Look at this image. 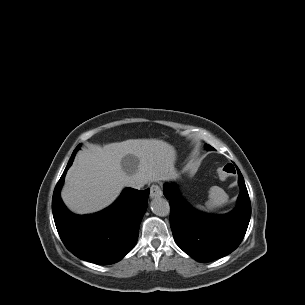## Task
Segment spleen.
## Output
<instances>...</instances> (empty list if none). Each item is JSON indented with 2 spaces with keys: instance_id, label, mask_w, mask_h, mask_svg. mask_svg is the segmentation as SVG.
Instances as JSON below:
<instances>
[{
  "instance_id": "spleen-1",
  "label": "spleen",
  "mask_w": 305,
  "mask_h": 305,
  "mask_svg": "<svg viewBox=\"0 0 305 305\" xmlns=\"http://www.w3.org/2000/svg\"><path fill=\"white\" fill-rule=\"evenodd\" d=\"M225 203H226L225 192L217 186H212L209 190V200L205 203V207L201 205H197L196 208H198L199 210L209 212L223 206Z\"/></svg>"
}]
</instances>
